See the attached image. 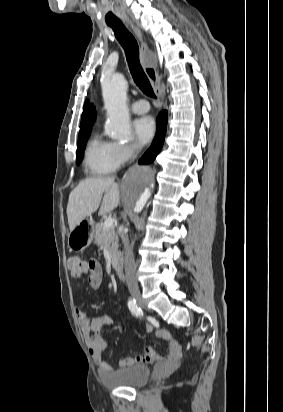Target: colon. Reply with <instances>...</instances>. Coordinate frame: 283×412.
<instances>
[{"instance_id":"colon-1","label":"colon","mask_w":283,"mask_h":412,"mask_svg":"<svg viewBox=\"0 0 283 412\" xmlns=\"http://www.w3.org/2000/svg\"><path fill=\"white\" fill-rule=\"evenodd\" d=\"M96 261L94 259L82 260L78 257H71L67 261V269L70 276L74 279H80L84 274L94 271Z\"/></svg>"}]
</instances>
